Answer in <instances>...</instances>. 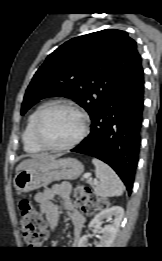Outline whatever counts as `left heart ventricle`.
Returning a JSON list of instances; mask_svg holds the SVG:
<instances>
[{
	"mask_svg": "<svg viewBox=\"0 0 162 261\" xmlns=\"http://www.w3.org/2000/svg\"><path fill=\"white\" fill-rule=\"evenodd\" d=\"M81 130L80 117L68 109L50 112L42 125L43 139L52 145H64L77 137Z\"/></svg>",
	"mask_w": 162,
	"mask_h": 261,
	"instance_id": "b2bd125f",
	"label": "left heart ventricle"
}]
</instances>
